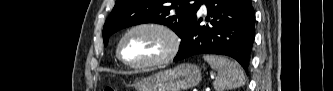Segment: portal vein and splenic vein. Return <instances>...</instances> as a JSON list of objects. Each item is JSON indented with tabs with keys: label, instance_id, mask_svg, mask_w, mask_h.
I'll return each mask as SVG.
<instances>
[{
	"label": "portal vein and splenic vein",
	"instance_id": "portal-vein-and-splenic-vein-1",
	"mask_svg": "<svg viewBox=\"0 0 333 91\" xmlns=\"http://www.w3.org/2000/svg\"><path fill=\"white\" fill-rule=\"evenodd\" d=\"M193 91H197V89H193Z\"/></svg>",
	"mask_w": 333,
	"mask_h": 91
}]
</instances>
